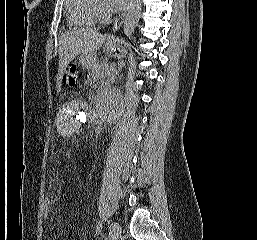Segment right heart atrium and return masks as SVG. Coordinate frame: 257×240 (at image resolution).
Masks as SVG:
<instances>
[{
	"label": "right heart atrium",
	"mask_w": 257,
	"mask_h": 240,
	"mask_svg": "<svg viewBox=\"0 0 257 240\" xmlns=\"http://www.w3.org/2000/svg\"><path fill=\"white\" fill-rule=\"evenodd\" d=\"M98 12H99V16L103 19H105L108 16V11L104 6H100L98 8Z\"/></svg>",
	"instance_id": "obj_1"
}]
</instances>
